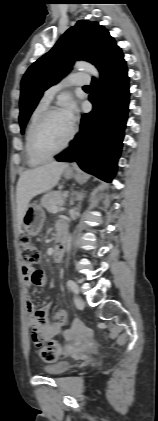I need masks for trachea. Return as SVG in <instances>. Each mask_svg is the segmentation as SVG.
Segmentation results:
<instances>
[{
  "instance_id": "3493384b",
  "label": "trachea",
  "mask_w": 158,
  "mask_h": 421,
  "mask_svg": "<svg viewBox=\"0 0 158 421\" xmlns=\"http://www.w3.org/2000/svg\"><path fill=\"white\" fill-rule=\"evenodd\" d=\"M84 88H89V86H88V85H86V86H84Z\"/></svg>"
}]
</instances>
